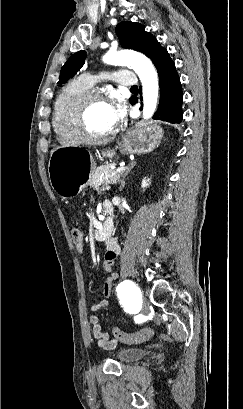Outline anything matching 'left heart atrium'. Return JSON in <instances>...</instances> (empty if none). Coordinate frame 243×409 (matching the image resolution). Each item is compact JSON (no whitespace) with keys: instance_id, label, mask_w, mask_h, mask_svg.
Wrapping results in <instances>:
<instances>
[{"instance_id":"1","label":"left heart atrium","mask_w":243,"mask_h":409,"mask_svg":"<svg viewBox=\"0 0 243 409\" xmlns=\"http://www.w3.org/2000/svg\"><path fill=\"white\" fill-rule=\"evenodd\" d=\"M124 117V108L121 105H117L115 107H112V125L115 127L118 125Z\"/></svg>"}]
</instances>
